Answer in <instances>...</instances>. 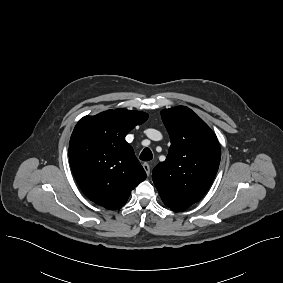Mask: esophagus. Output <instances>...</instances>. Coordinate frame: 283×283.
Listing matches in <instances>:
<instances>
[{
    "label": "esophagus",
    "mask_w": 283,
    "mask_h": 283,
    "mask_svg": "<svg viewBox=\"0 0 283 283\" xmlns=\"http://www.w3.org/2000/svg\"><path fill=\"white\" fill-rule=\"evenodd\" d=\"M143 168L146 171L147 175H150V165L148 163H144Z\"/></svg>",
    "instance_id": "obj_1"
}]
</instances>
